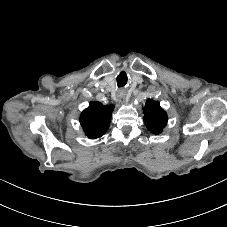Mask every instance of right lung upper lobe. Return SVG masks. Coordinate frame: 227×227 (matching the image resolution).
Instances as JSON below:
<instances>
[{"instance_id":"1","label":"right lung upper lobe","mask_w":227,"mask_h":227,"mask_svg":"<svg viewBox=\"0 0 227 227\" xmlns=\"http://www.w3.org/2000/svg\"><path fill=\"white\" fill-rule=\"evenodd\" d=\"M114 105H102L100 102H90L80 116V124L90 139L101 137L109 128Z\"/></svg>"}]
</instances>
